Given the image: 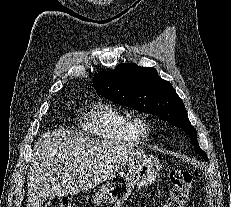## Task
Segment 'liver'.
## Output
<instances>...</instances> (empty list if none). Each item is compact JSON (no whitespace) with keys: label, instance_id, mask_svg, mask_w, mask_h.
Masks as SVG:
<instances>
[{"label":"liver","instance_id":"liver-1","mask_svg":"<svg viewBox=\"0 0 231 207\" xmlns=\"http://www.w3.org/2000/svg\"><path fill=\"white\" fill-rule=\"evenodd\" d=\"M141 154L123 144L65 130L42 133L34 145L27 174L26 207H41L46 198L93 189Z\"/></svg>","mask_w":231,"mask_h":207}]
</instances>
